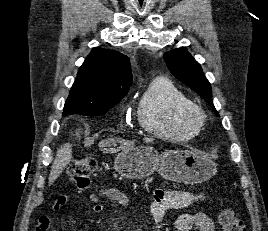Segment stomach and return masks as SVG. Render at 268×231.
<instances>
[{
	"instance_id": "0dacf381",
	"label": "stomach",
	"mask_w": 268,
	"mask_h": 231,
	"mask_svg": "<svg viewBox=\"0 0 268 231\" xmlns=\"http://www.w3.org/2000/svg\"><path fill=\"white\" fill-rule=\"evenodd\" d=\"M217 164L192 150H166L159 154L152 146L142 145L121 150L114 168L127 179H142L157 171L176 183L197 184L212 178Z\"/></svg>"
}]
</instances>
